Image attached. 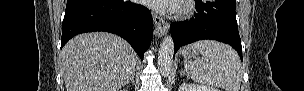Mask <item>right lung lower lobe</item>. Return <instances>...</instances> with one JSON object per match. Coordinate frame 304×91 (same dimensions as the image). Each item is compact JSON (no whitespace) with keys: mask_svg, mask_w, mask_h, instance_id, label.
Segmentation results:
<instances>
[{"mask_svg":"<svg viewBox=\"0 0 304 91\" xmlns=\"http://www.w3.org/2000/svg\"><path fill=\"white\" fill-rule=\"evenodd\" d=\"M92 31L119 35L143 59L153 37L152 16L146 7L131 1L67 0L61 47L73 36Z\"/></svg>","mask_w":304,"mask_h":91,"instance_id":"98d812e1","label":"right lung lower lobe"}]
</instances>
